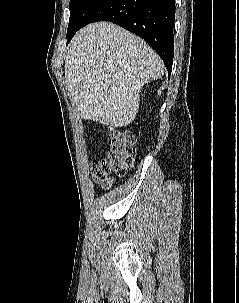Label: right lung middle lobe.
<instances>
[{"mask_svg": "<svg viewBox=\"0 0 239 303\" xmlns=\"http://www.w3.org/2000/svg\"><path fill=\"white\" fill-rule=\"evenodd\" d=\"M105 0H70V18L67 29V43L85 25L88 17Z\"/></svg>", "mask_w": 239, "mask_h": 303, "instance_id": "dd1d6c3e", "label": "right lung middle lobe"}]
</instances>
